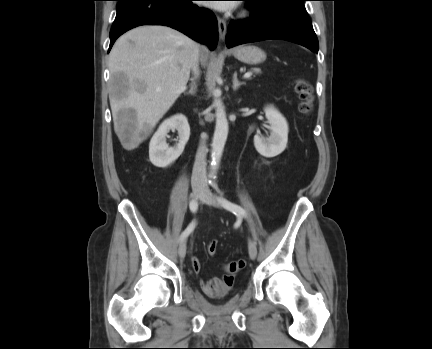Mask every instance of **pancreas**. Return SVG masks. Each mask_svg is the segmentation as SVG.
I'll use <instances>...</instances> for the list:
<instances>
[{"mask_svg": "<svg viewBox=\"0 0 432 349\" xmlns=\"http://www.w3.org/2000/svg\"><path fill=\"white\" fill-rule=\"evenodd\" d=\"M254 72H256V73H260V69H257V68H254V69H252Z\"/></svg>", "mask_w": 432, "mask_h": 349, "instance_id": "cf45deb5", "label": "pancreas"}]
</instances>
